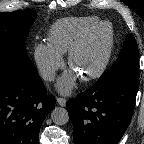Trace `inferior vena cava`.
Instances as JSON below:
<instances>
[{
    "mask_svg": "<svg viewBox=\"0 0 144 144\" xmlns=\"http://www.w3.org/2000/svg\"><path fill=\"white\" fill-rule=\"evenodd\" d=\"M55 75L56 73L54 70H47L42 73L43 79L47 81H54Z\"/></svg>",
    "mask_w": 144,
    "mask_h": 144,
    "instance_id": "inferior-vena-cava-1",
    "label": "inferior vena cava"
}]
</instances>
